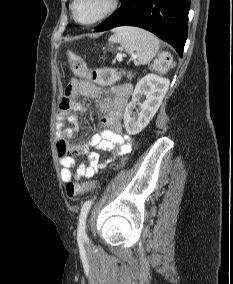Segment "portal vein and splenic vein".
Wrapping results in <instances>:
<instances>
[{"instance_id":"portal-vein-and-splenic-vein-1","label":"portal vein and splenic vein","mask_w":233,"mask_h":284,"mask_svg":"<svg viewBox=\"0 0 233 284\" xmlns=\"http://www.w3.org/2000/svg\"><path fill=\"white\" fill-rule=\"evenodd\" d=\"M119 60H122V57L120 56V55H118V57H117Z\"/></svg>"}]
</instances>
